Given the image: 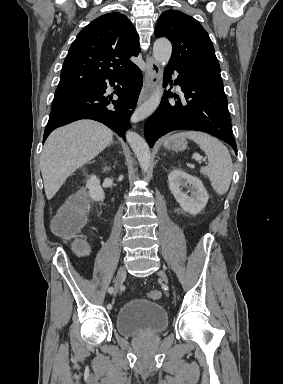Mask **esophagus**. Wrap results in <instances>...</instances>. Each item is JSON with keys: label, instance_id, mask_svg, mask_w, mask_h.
<instances>
[{"label": "esophagus", "instance_id": "34e87169", "mask_svg": "<svg viewBox=\"0 0 283 384\" xmlns=\"http://www.w3.org/2000/svg\"><path fill=\"white\" fill-rule=\"evenodd\" d=\"M159 77H160L159 64L152 57L147 56L144 83L138 99L139 105L142 104L149 97L152 90L158 84Z\"/></svg>", "mask_w": 283, "mask_h": 384}]
</instances>
